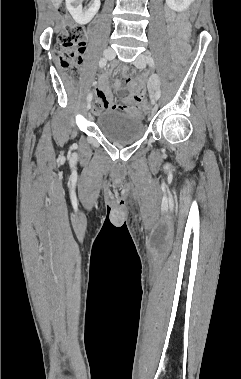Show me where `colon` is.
Segmentation results:
<instances>
[{
	"instance_id": "1",
	"label": "colon",
	"mask_w": 241,
	"mask_h": 379,
	"mask_svg": "<svg viewBox=\"0 0 241 379\" xmlns=\"http://www.w3.org/2000/svg\"><path fill=\"white\" fill-rule=\"evenodd\" d=\"M61 16L65 20V24L62 32L57 40L56 60L58 65L65 70L66 74L76 79L78 77V66L81 62V55L86 47L85 29L83 26L72 23L69 21L64 10H60ZM198 14L197 8H190L189 14H187V21H196V15ZM181 70L180 64H170L166 70L170 83H175L178 77V72ZM120 95H125V92H120ZM145 104H150V99L147 98V94H142ZM98 110L106 108L104 102L99 98L96 103Z\"/></svg>"
}]
</instances>
